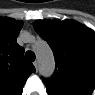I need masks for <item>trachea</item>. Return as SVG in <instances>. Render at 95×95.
<instances>
[{
    "mask_svg": "<svg viewBox=\"0 0 95 95\" xmlns=\"http://www.w3.org/2000/svg\"><path fill=\"white\" fill-rule=\"evenodd\" d=\"M25 57L28 61L33 62L35 60V54L33 51L28 50L25 54Z\"/></svg>",
    "mask_w": 95,
    "mask_h": 95,
    "instance_id": "trachea-1",
    "label": "trachea"
}]
</instances>
